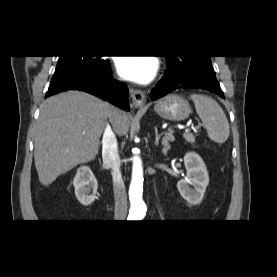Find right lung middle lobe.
Here are the masks:
<instances>
[{
    "mask_svg": "<svg viewBox=\"0 0 277 277\" xmlns=\"http://www.w3.org/2000/svg\"><path fill=\"white\" fill-rule=\"evenodd\" d=\"M108 63V60H103L100 56H59L49 89H57L74 82L90 80L102 71Z\"/></svg>",
    "mask_w": 277,
    "mask_h": 277,
    "instance_id": "dd1d6c3e",
    "label": "right lung middle lobe"
}]
</instances>
